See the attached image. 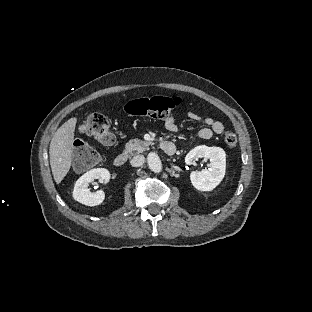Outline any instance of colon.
<instances>
[{
    "instance_id": "colon-1",
    "label": "colon",
    "mask_w": 312,
    "mask_h": 312,
    "mask_svg": "<svg viewBox=\"0 0 312 312\" xmlns=\"http://www.w3.org/2000/svg\"><path fill=\"white\" fill-rule=\"evenodd\" d=\"M179 104L178 97L155 96L142 97L131 100L126 111L135 116H146L154 120L165 119L172 109ZM84 133L92 136L104 144L113 141L114 134L109 119L101 112H92L83 127ZM225 145L234 148L237 145V137L235 134L228 133L224 137ZM75 157L91 166L99 160V154L95 150L81 149L76 150Z\"/></svg>"
}]
</instances>
